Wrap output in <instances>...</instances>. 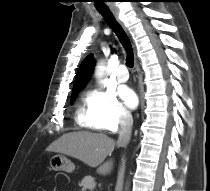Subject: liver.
Segmentation results:
<instances>
[{
    "mask_svg": "<svg viewBox=\"0 0 210 191\" xmlns=\"http://www.w3.org/2000/svg\"><path fill=\"white\" fill-rule=\"evenodd\" d=\"M114 147L115 141L105 134L79 131L62 135L47 148V151L76 158L90 167H98L97 172L106 175L111 172L113 161L104 160L112 153Z\"/></svg>",
    "mask_w": 210,
    "mask_h": 191,
    "instance_id": "1",
    "label": "liver"
}]
</instances>
